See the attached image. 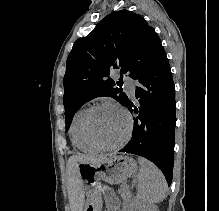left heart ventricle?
<instances>
[{
    "label": "left heart ventricle",
    "mask_w": 219,
    "mask_h": 211,
    "mask_svg": "<svg viewBox=\"0 0 219 211\" xmlns=\"http://www.w3.org/2000/svg\"><path fill=\"white\" fill-rule=\"evenodd\" d=\"M126 128L124 115L110 106L96 109L90 119L91 133L101 143H117L125 134Z\"/></svg>",
    "instance_id": "obj_1"
}]
</instances>
